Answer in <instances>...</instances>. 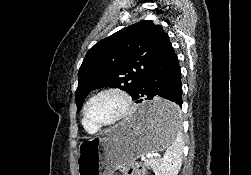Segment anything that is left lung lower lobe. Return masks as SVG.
Wrapping results in <instances>:
<instances>
[{
	"label": "left lung lower lobe",
	"instance_id": "obj_1",
	"mask_svg": "<svg viewBox=\"0 0 251 175\" xmlns=\"http://www.w3.org/2000/svg\"><path fill=\"white\" fill-rule=\"evenodd\" d=\"M164 98L175 104H165L145 108L140 111L139 119L151 123H172L180 118L182 105L181 70L176 53L170 41L161 54L147 70L138 84L133 99L137 103L153 98Z\"/></svg>",
	"mask_w": 251,
	"mask_h": 175
}]
</instances>
